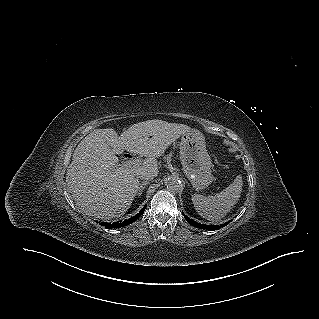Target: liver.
Here are the masks:
<instances>
[{"label":"liver","mask_w":319,"mask_h":319,"mask_svg":"<svg viewBox=\"0 0 319 319\" xmlns=\"http://www.w3.org/2000/svg\"><path fill=\"white\" fill-rule=\"evenodd\" d=\"M192 129L162 120L136 123L120 136L113 128L95 129L76 147L66 182L76 204L87 215L112 219L124 215L139 188L138 172L154 170L156 158ZM127 150L147 157L141 166L118 164L117 154Z\"/></svg>","instance_id":"obj_1"}]
</instances>
